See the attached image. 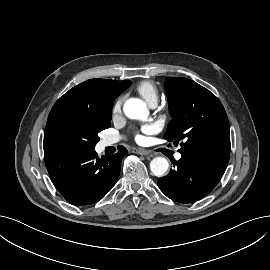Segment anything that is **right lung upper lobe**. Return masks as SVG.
Instances as JSON below:
<instances>
[{
  "label": "right lung upper lobe",
  "mask_w": 270,
  "mask_h": 270,
  "mask_svg": "<svg viewBox=\"0 0 270 270\" xmlns=\"http://www.w3.org/2000/svg\"><path fill=\"white\" fill-rule=\"evenodd\" d=\"M131 85V81L90 79L71 88L52 107L48 120L67 111L111 113L115 98ZM47 120V121H48Z\"/></svg>",
  "instance_id": "cb5924a9"
}]
</instances>
